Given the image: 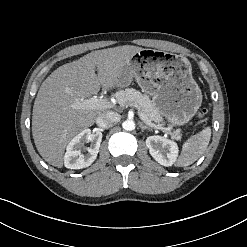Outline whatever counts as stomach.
Returning <instances> with one entry per match:
<instances>
[{
  "label": "stomach",
  "mask_w": 247,
  "mask_h": 247,
  "mask_svg": "<svg viewBox=\"0 0 247 247\" xmlns=\"http://www.w3.org/2000/svg\"><path fill=\"white\" fill-rule=\"evenodd\" d=\"M133 79L169 126L187 124L202 103L192 67L183 57L153 49L136 52L119 72L117 87H127Z\"/></svg>",
  "instance_id": "0dacf381"
}]
</instances>
